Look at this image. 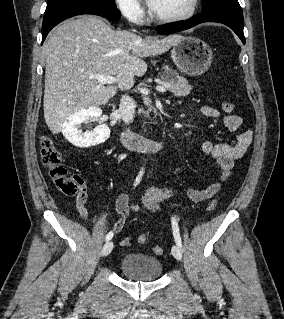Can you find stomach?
Instances as JSON below:
<instances>
[{
    "mask_svg": "<svg viewBox=\"0 0 284 319\" xmlns=\"http://www.w3.org/2000/svg\"><path fill=\"white\" fill-rule=\"evenodd\" d=\"M171 56L175 65L189 76L203 74L213 59L209 45L196 37H182L173 45Z\"/></svg>",
    "mask_w": 284,
    "mask_h": 319,
    "instance_id": "0dacf381",
    "label": "stomach"
}]
</instances>
